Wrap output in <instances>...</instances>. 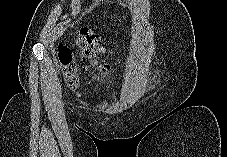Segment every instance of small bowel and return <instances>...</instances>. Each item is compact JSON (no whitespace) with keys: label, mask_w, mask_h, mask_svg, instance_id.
Returning a JSON list of instances; mask_svg holds the SVG:
<instances>
[{"label":"small bowel","mask_w":227,"mask_h":157,"mask_svg":"<svg viewBox=\"0 0 227 157\" xmlns=\"http://www.w3.org/2000/svg\"><path fill=\"white\" fill-rule=\"evenodd\" d=\"M98 49H99L100 52H104L105 51L104 47H99Z\"/></svg>","instance_id":"obj_1"}]
</instances>
